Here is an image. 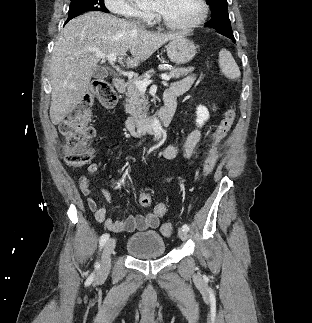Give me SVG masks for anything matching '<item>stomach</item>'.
I'll return each instance as SVG.
<instances>
[{"instance_id":"stomach-1","label":"stomach","mask_w":312,"mask_h":323,"mask_svg":"<svg viewBox=\"0 0 312 323\" xmlns=\"http://www.w3.org/2000/svg\"><path fill=\"white\" fill-rule=\"evenodd\" d=\"M166 48L168 58L174 64H187V62L193 60L197 52L194 42L188 40L185 36L171 40Z\"/></svg>"}]
</instances>
